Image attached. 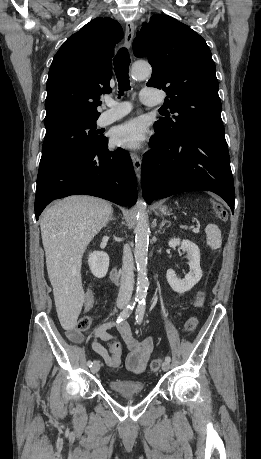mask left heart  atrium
I'll use <instances>...</instances> for the list:
<instances>
[{"label":"left heart atrium","mask_w":261,"mask_h":459,"mask_svg":"<svg viewBox=\"0 0 261 459\" xmlns=\"http://www.w3.org/2000/svg\"><path fill=\"white\" fill-rule=\"evenodd\" d=\"M144 141L145 128L139 119H132L117 126L112 133V142L121 148L139 149Z\"/></svg>","instance_id":"left-heart-atrium-1"}]
</instances>
